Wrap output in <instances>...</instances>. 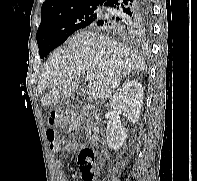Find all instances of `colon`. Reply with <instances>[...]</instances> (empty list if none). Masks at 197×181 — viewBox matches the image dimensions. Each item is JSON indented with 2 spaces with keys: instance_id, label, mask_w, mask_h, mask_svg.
<instances>
[{
  "instance_id": "1",
  "label": "colon",
  "mask_w": 197,
  "mask_h": 181,
  "mask_svg": "<svg viewBox=\"0 0 197 181\" xmlns=\"http://www.w3.org/2000/svg\"><path fill=\"white\" fill-rule=\"evenodd\" d=\"M56 125L77 131L80 128L79 117L76 114L63 112H55L50 115L49 127L46 129V137L50 148L54 151L59 150L62 143V138L55 129ZM78 163L83 181H94L95 166L99 163L94 151L87 148L82 149L78 154Z\"/></svg>"
}]
</instances>
